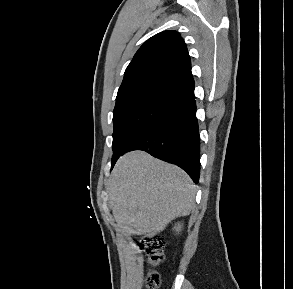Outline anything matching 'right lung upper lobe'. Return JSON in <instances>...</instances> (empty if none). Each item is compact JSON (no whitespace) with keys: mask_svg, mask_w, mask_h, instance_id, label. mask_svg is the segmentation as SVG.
Wrapping results in <instances>:
<instances>
[{"mask_svg":"<svg viewBox=\"0 0 293 289\" xmlns=\"http://www.w3.org/2000/svg\"><path fill=\"white\" fill-rule=\"evenodd\" d=\"M132 97H158L176 106L194 96V80L186 44L176 31L147 40L126 68L116 104Z\"/></svg>","mask_w":293,"mask_h":289,"instance_id":"right-lung-upper-lobe-1","label":"right lung upper lobe"}]
</instances>
